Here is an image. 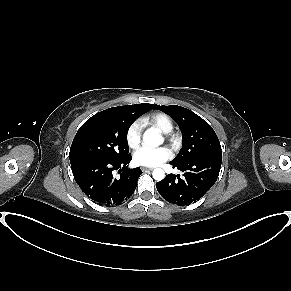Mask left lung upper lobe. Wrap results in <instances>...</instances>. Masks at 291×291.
Instances as JSON below:
<instances>
[{
  "mask_svg": "<svg viewBox=\"0 0 291 291\" xmlns=\"http://www.w3.org/2000/svg\"><path fill=\"white\" fill-rule=\"evenodd\" d=\"M156 109L171 116L178 123L182 132V148L171 162L181 163L194 157L222 154L216 133L200 116L177 105H156Z\"/></svg>",
  "mask_w": 291,
  "mask_h": 291,
  "instance_id": "obj_1",
  "label": "left lung upper lobe"
}]
</instances>
